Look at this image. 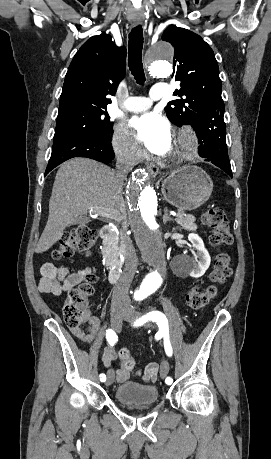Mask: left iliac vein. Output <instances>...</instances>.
<instances>
[{"instance_id": "4c4485c4", "label": "left iliac vein", "mask_w": 271, "mask_h": 459, "mask_svg": "<svg viewBox=\"0 0 271 459\" xmlns=\"http://www.w3.org/2000/svg\"><path fill=\"white\" fill-rule=\"evenodd\" d=\"M140 316L139 313H137L135 310L133 309H129L126 314L124 315V318L126 321H129V322H132L134 321L136 318H138ZM149 325V324H147ZM168 372H169V364L167 361H163L161 366H160V375L161 377H166L168 375Z\"/></svg>"}]
</instances>
